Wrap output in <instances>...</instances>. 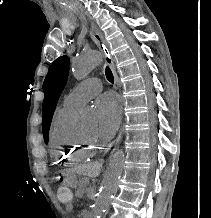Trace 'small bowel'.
Segmentation results:
<instances>
[{
    "mask_svg": "<svg viewBox=\"0 0 211 218\" xmlns=\"http://www.w3.org/2000/svg\"><path fill=\"white\" fill-rule=\"evenodd\" d=\"M72 208H73L72 203H68V204H67V209H68V210H71Z\"/></svg>",
    "mask_w": 211,
    "mask_h": 218,
    "instance_id": "c3829d8e",
    "label": "small bowel"
}]
</instances>
